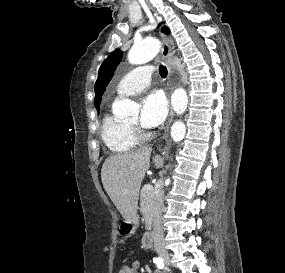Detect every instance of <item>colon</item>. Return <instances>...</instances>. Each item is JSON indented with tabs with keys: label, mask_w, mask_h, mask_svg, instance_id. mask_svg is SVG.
<instances>
[{
	"label": "colon",
	"mask_w": 285,
	"mask_h": 273,
	"mask_svg": "<svg viewBox=\"0 0 285 273\" xmlns=\"http://www.w3.org/2000/svg\"><path fill=\"white\" fill-rule=\"evenodd\" d=\"M137 264H134L132 267L129 266H121L118 270V273H134Z\"/></svg>",
	"instance_id": "5ec220e1"
}]
</instances>
